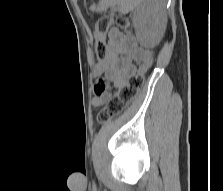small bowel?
<instances>
[{
	"instance_id": "obj_1",
	"label": "small bowel",
	"mask_w": 223,
	"mask_h": 191,
	"mask_svg": "<svg viewBox=\"0 0 223 191\" xmlns=\"http://www.w3.org/2000/svg\"><path fill=\"white\" fill-rule=\"evenodd\" d=\"M148 55L149 51L140 47L131 36L116 28L111 29L106 53L110 70L101 73V78L94 85L93 104L101 105L110 96L113 88L122 87L128 77L135 73L137 64Z\"/></svg>"
}]
</instances>
